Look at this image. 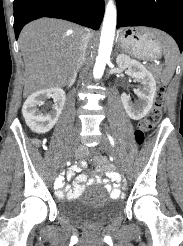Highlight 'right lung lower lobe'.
I'll list each match as a JSON object with an SVG mask.
<instances>
[{
	"label": "right lung lower lobe",
	"instance_id": "98d812e1",
	"mask_svg": "<svg viewBox=\"0 0 183 246\" xmlns=\"http://www.w3.org/2000/svg\"><path fill=\"white\" fill-rule=\"evenodd\" d=\"M14 31L42 17L68 20L98 30L103 19L104 0H14Z\"/></svg>",
	"mask_w": 183,
	"mask_h": 246
}]
</instances>
